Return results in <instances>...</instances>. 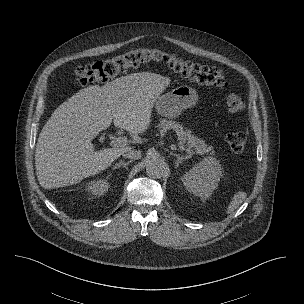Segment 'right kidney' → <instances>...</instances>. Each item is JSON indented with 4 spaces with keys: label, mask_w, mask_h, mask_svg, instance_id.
Wrapping results in <instances>:
<instances>
[{
    "label": "right kidney",
    "mask_w": 304,
    "mask_h": 304,
    "mask_svg": "<svg viewBox=\"0 0 304 304\" xmlns=\"http://www.w3.org/2000/svg\"><path fill=\"white\" fill-rule=\"evenodd\" d=\"M110 185L106 179H94L86 184L85 190L89 193L100 196L106 193Z\"/></svg>",
    "instance_id": "1"
}]
</instances>
